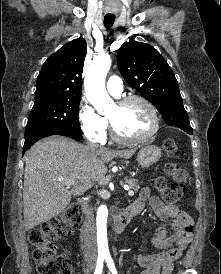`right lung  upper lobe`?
<instances>
[{"label": "right lung upper lobe", "mask_w": 221, "mask_h": 274, "mask_svg": "<svg viewBox=\"0 0 221 274\" xmlns=\"http://www.w3.org/2000/svg\"><path fill=\"white\" fill-rule=\"evenodd\" d=\"M87 45L82 37L75 39L44 63L38 77L35 99L49 96L81 95L82 72Z\"/></svg>", "instance_id": "1"}]
</instances>
